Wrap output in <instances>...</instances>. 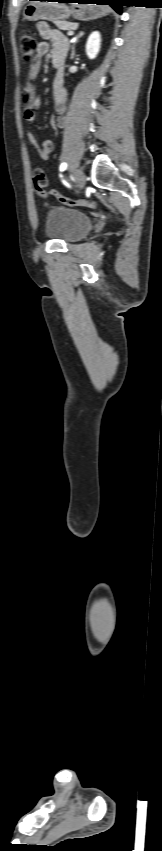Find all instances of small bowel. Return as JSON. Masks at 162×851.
Masks as SVG:
<instances>
[{
    "label": "small bowel",
    "mask_w": 162,
    "mask_h": 851,
    "mask_svg": "<svg viewBox=\"0 0 162 851\" xmlns=\"http://www.w3.org/2000/svg\"><path fill=\"white\" fill-rule=\"evenodd\" d=\"M37 29L44 40L38 43L36 56L27 72L22 94L24 103L23 116L29 123H33L35 120V111L40 107L41 101L36 95L33 81L39 72L42 57L49 55L53 63L59 64L52 85L55 114L51 117L50 121L54 126L62 128L65 125L67 110V91L63 86V65L68 51V41L61 32L51 28L46 22H39ZM26 135L28 141L37 148L40 159L43 161L48 160L54 151L53 142L51 140H44L42 143H39L31 131H27Z\"/></svg>",
    "instance_id": "small-bowel-1"
}]
</instances>
